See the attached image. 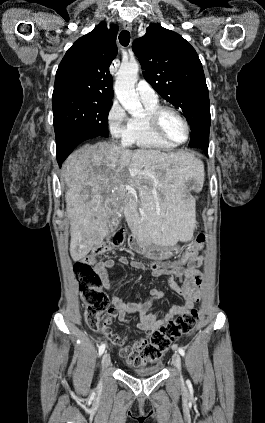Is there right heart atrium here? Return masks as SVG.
<instances>
[{
	"label": "right heart atrium",
	"instance_id": "1",
	"mask_svg": "<svg viewBox=\"0 0 265 423\" xmlns=\"http://www.w3.org/2000/svg\"><path fill=\"white\" fill-rule=\"evenodd\" d=\"M106 121L111 136L114 139H123L129 118L125 109L119 104L117 100H114L111 103L107 112Z\"/></svg>",
	"mask_w": 265,
	"mask_h": 423
}]
</instances>
